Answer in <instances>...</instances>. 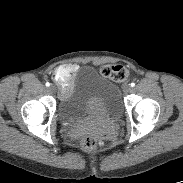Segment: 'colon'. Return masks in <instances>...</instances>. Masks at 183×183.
Segmentation results:
<instances>
[{"label": "colon", "mask_w": 183, "mask_h": 183, "mask_svg": "<svg viewBox=\"0 0 183 183\" xmlns=\"http://www.w3.org/2000/svg\"><path fill=\"white\" fill-rule=\"evenodd\" d=\"M101 74L116 82H124L128 79L129 73L125 66L121 64H107L101 67ZM55 80L62 89L72 81L73 74L69 71H57L54 75ZM82 149L86 152L93 151L97 146V140L92 136H85L81 142Z\"/></svg>", "instance_id": "1"}]
</instances>
